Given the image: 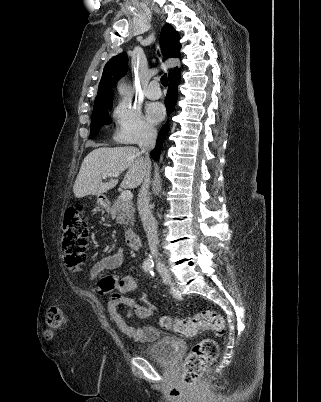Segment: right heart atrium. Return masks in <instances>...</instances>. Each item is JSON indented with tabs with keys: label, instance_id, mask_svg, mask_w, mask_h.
Here are the masks:
<instances>
[{
	"label": "right heart atrium",
	"instance_id": "1",
	"mask_svg": "<svg viewBox=\"0 0 321 402\" xmlns=\"http://www.w3.org/2000/svg\"><path fill=\"white\" fill-rule=\"evenodd\" d=\"M114 138L123 144H141L155 137L154 127L131 102L120 101L112 110Z\"/></svg>",
	"mask_w": 321,
	"mask_h": 402
}]
</instances>
